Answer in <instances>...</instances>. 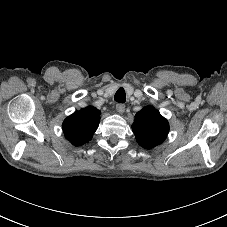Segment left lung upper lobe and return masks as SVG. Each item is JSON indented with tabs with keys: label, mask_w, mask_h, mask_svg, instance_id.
Returning <instances> with one entry per match:
<instances>
[{
	"label": "left lung upper lobe",
	"mask_w": 227,
	"mask_h": 227,
	"mask_svg": "<svg viewBox=\"0 0 227 227\" xmlns=\"http://www.w3.org/2000/svg\"><path fill=\"white\" fill-rule=\"evenodd\" d=\"M132 130L137 142L146 149L161 144L169 132L168 121L151 106L143 108L135 115Z\"/></svg>",
	"instance_id": "left-lung-upper-lobe-1"
}]
</instances>
